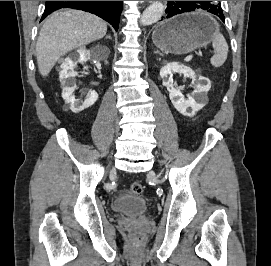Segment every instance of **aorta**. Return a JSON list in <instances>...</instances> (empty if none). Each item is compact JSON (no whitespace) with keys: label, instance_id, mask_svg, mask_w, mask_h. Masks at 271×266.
<instances>
[{"label":"aorta","instance_id":"aorta-1","mask_svg":"<svg viewBox=\"0 0 271 266\" xmlns=\"http://www.w3.org/2000/svg\"><path fill=\"white\" fill-rule=\"evenodd\" d=\"M165 7L162 2L154 1L146 10L143 12L140 23L142 25H151L161 19Z\"/></svg>","mask_w":271,"mask_h":266}]
</instances>
